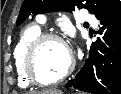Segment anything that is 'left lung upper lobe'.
I'll return each instance as SVG.
<instances>
[{"mask_svg":"<svg viewBox=\"0 0 121 94\" xmlns=\"http://www.w3.org/2000/svg\"><path fill=\"white\" fill-rule=\"evenodd\" d=\"M75 8H85L101 21L120 9L121 2L119 0H24L17 19V25H20L31 13L72 12Z\"/></svg>","mask_w":121,"mask_h":94,"instance_id":"1","label":"left lung upper lobe"}]
</instances>
